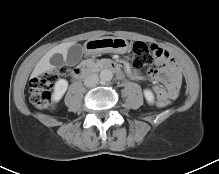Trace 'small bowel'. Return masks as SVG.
<instances>
[{
	"label": "small bowel",
	"mask_w": 219,
	"mask_h": 174,
	"mask_svg": "<svg viewBox=\"0 0 219 174\" xmlns=\"http://www.w3.org/2000/svg\"><path fill=\"white\" fill-rule=\"evenodd\" d=\"M152 47L156 54L155 63L158 67V70L152 71V75L159 78L160 74H164L166 76L164 83L167 87H163L159 83H154L151 86V91L158 99H175L178 96L181 83L180 70L174 62L172 55L166 49L156 45H152ZM126 68L133 77H138V74L135 71L131 70L129 67Z\"/></svg>",
	"instance_id": "1"
}]
</instances>
